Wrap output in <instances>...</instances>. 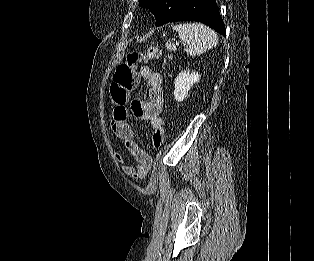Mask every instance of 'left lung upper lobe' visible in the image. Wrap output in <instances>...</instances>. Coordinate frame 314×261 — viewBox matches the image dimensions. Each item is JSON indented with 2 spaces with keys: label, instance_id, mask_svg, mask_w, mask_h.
<instances>
[{
  "label": "left lung upper lobe",
  "instance_id": "left-lung-upper-lobe-1",
  "mask_svg": "<svg viewBox=\"0 0 314 261\" xmlns=\"http://www.w3.org/2000/svg\"><path fill=\"white\" fill-rule=\"evenodd\" d=\"M184 0H139L141 7L148 8L154 14L156 26L170 21Z\"/></svg>",
  "mask_w": 314,
  "mask_h": 261
}]
</instances>
